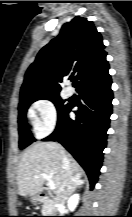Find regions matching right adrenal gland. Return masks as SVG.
<instances>
[{
  "label": "right adrenal gland",
  "instance_id": "right-adrenal-gland-1",
  "mask_svg": "<svg viewBox=\"0 0 132 217\" xmlns=\"http://www.w3.org/2000/svg\"><path fill=\"white\" fill-rule=\"evenodd\" d=\"M84 183H85V181L82 179V174L78 173L75 176V179L73 182L72 192H74L77 188L81 187Z\"/></svg>",
  "mask_w": 132,
  "mask_h": 217
}]
</instances>
